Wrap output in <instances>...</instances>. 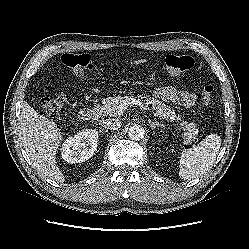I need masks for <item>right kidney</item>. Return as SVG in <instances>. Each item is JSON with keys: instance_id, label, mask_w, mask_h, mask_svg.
Masks as SVG:
<instances>
[{"instance_id": "obj_1", "label": "right kidney", "mask_w": 249, "mask_h": 249, "mask_svg": "<svg viewBox=\"0 0 249 249\" xmlns=\"http://www.w3.org/2000/svg\"><path fill=\"white\" fill-rule=\"evenodd\" d=\"M98 131L86 129L68 137L62 145V158L68 163H82L94 155Z\"/></svg>"}]
</instances>
